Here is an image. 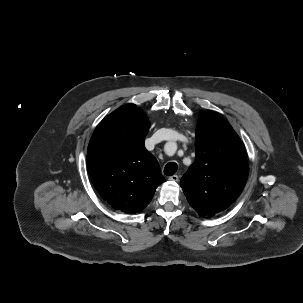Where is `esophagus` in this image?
I'll return each mask as SVG.
<instances>
[{
    "label": "esophagus",
    "instance_id": "1",
    "mask_svg": "<svg viewBox=\"0 0 303 303\" xmlns=\"http://www.w3.org/2000/svg\"><path fill=\"white\" fill-rule=\"evenodd\" d=\"M170 181H174L177 182L179 180V176L178 175H172L168 178Z\"/></svg>",
    "mask_w": 303,
    "mask_h": 303
}]
</instances>
